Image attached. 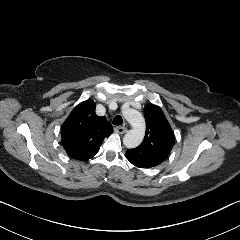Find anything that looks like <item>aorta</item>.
<instances>
[{"label": "aorta", "mask_w": 240, "mask_h": 240, "mask_svg": "<svg viewBox=\"0 0 240 240\" xmlns=\"http://www.w3.org/2000/svg\"><path fill=\"white\" fill-rule=\"evenodd\" d=\"M123 115L132 129L127 131L123 137L125 147L132 149L139 146L145 135V120L142 114L132 108L123 109Z\"/></svg>", "instance_id": "1"}]
</instances>
